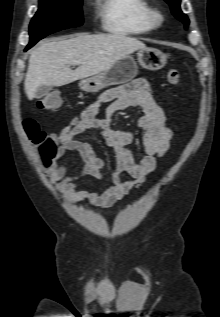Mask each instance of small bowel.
Returning a JSON list of instances; mask_svg holds the SVG:
<instances>
[{
  "instance_id": "1",
  "label": "small bowel",
  "mask_w": 220,
  "mask_h": 317,
  "mask_svg": "<svg viewBox=\"0 0 220 317\" xmlns=\"http://www.w3.org/2000/svg\"><path fill=\"white\" fill-rule=\"evenodd\" d=\"M108 103L104 118L98 117L101 104ZM141 107L144 116L138 123L143 147V156L136 160L127 149L133 139L131 131L113 128L114 115L127 107ZM87 131H97L107 146L115 152L116 168L110 175L111 184L104 191L77 190L78 180L83 176L103 178L105 160L98 157L88 141L76 137ZM59 144L55 161L44 170L52 184L60 183L62 192L71 203L88 202L96 208H108L143 185L154 172L159 158L169 150L173 137L172 130L166 125L163 105L158 101L148 82L135 79L122 86L111 88L100 94L97 101L90 104L79 117L60 132L52 133ZM69 151H77L84 160V166L78 174H68L64 165L57 159ZM128 175L127 179L122 174Z\"/></svg>"
}]
</instances>
